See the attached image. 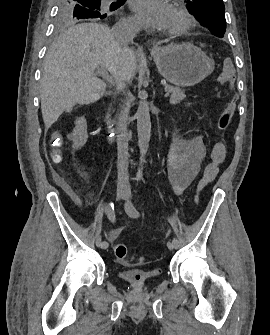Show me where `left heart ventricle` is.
<instances>
[{"label":"left heart ventricle","instance_id":"b2bd125f","mask_svg":"<svg viewBox=\"0 0 270 335\" xmlns=\"http://www.w3.org/2000/svg\"><path fill=\"white\" fill-rule=\"evenodd\" d=\"M176 27L179 25L180 21H179V18L178 16H176ZM176 52H188V51H185V50H179V51H176Z\"/></svg>","mask_w":270,"mask_h":335}]
</instances>
